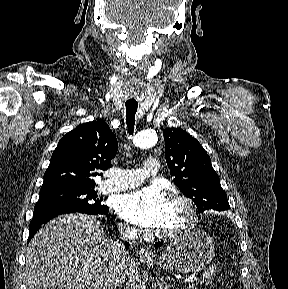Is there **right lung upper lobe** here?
Segmentation results:
<instances>
[{
  "instance_id": "cb5924a9",
  "label": "right lung upper lobe",
  "mask_w": 288,
  "mask_h": 289,
  "mask_svg": "<svg viewBox=\"0 0 288 289\" xmlns=\"http://www.w3.org/2000/svg\"><path fill=\"white\" fill-rule=\"evenodd\" d=\"M118 142L103 120L77 126L64 135L44 174L42 188L94 187V177L111 166Z\"/></svg>"
}]
</instances>
